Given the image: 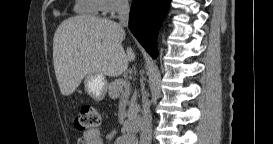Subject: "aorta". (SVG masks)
<instances>
[{
  "mask_svg": "<svg viewBox=\"0 0 273 144\" xmlns=\"http://www.w3.org/2000/svg\"><path fill=\"white\" fill-rule=\"evenodd\" d=\"M122 144H133L135 142L134 138L132 136H125L122 139Z\"/></svg>",
  "mask_w": 273,
  "mask_h": 144,
  "instance_id": "obj_1",
  "label": "aorta"
}]
</instances>
